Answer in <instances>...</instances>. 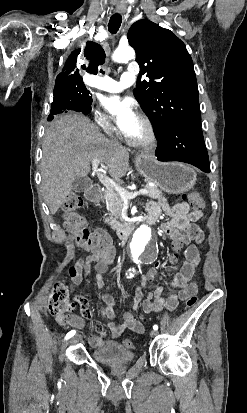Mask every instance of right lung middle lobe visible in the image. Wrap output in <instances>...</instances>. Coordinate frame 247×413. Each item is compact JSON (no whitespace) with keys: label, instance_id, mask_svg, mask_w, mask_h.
Segmentation results:
<instances>
[{"label":"right lung middle lobe","instance_id":"dd1d6c3e","mask_svg":"<svg viewBox=\"0 0 247 413\" xmlns=\"http://www.w3.org/2000/svg\"><path fill=\"white\" fill-rule=\"evenodd\" d=\"M90 92L86 89L83 81L55 83L54 98L63 96H74L84 100L92 99Z\"/></svg>","mask_w":247,"mask_h":413}]
</instances>
